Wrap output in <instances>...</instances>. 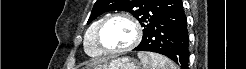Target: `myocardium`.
<instances>
[{"label": "myocardium", "mask_w": 246, "mask_h": 69, "mask_svg": "<svg viewBox=\"0 0 246 69\" xmlns=\"http://www.w3.org/2000/svg\"><path fill=\"white\" fill-rule=\"evenodd\" d=\"M116 18L125 19L129 23H131V25L133 26V29H134V33H135L133 41L128 46L120 48V49L108 48L103 44V42L101 40V33H102L103 29L105 28V26L111 20L116 19ZM95 38H96L97 44L99 45V47L103 53H106L109 55H119V54H122L124 52L129 51V50H132L133 48H135L139 44V42L142 39V27H141L140 22L134 16H132L130 14L112 13V14L107 15L101 21V23L98 25L96 32H95Z\"/></svg>", "instance_id": "obj_1"}]
</instances>
